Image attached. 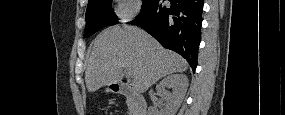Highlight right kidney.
<instances>
[{
    "instance_id": "1",
    "label": "right kidney",
    "mask_w": 285,
    "mask_h": 115,
    "mask_svg": "<svg viewBox=\"0 0 285 115\" xmlns=\"http://www.w3.org/2000/svg\"><path fill=\"white\" fill-rule=\"evenodd\" d=\"M188 87V78L184 74H172L161 80L156 86L158 94L164 97L166 105L163 109L149 108V115H175L179 109ZM167 88L173 90L172 93Z\"/></svg>"
}]
</instances>
